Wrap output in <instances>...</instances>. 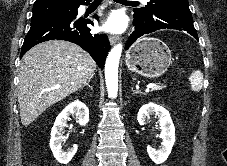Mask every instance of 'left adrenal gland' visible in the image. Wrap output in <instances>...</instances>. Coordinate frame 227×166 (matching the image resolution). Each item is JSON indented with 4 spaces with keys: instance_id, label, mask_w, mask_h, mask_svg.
Here are the masks:
<instances>
[{
    "instance_id": "obj_1",
    "label": "left adrenal gland",
    "mask_w": 227,
    "mask_h": 166,
    "mask_svg": "<svg viewBox=\"0 0 227 166\" xmlns=\"http://www.w3.org/2000/svg\"><path fill=\"white\" fill-rule=\"evenodd\" d=\"M131 89H132L133 94L139 93L138 91L134 90L133 87Z\"/></svg>"
}]
</instances>
